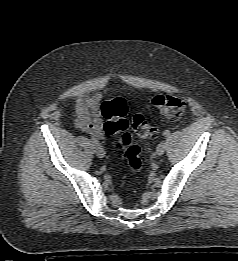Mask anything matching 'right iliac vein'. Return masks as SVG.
<instances>
[{
    "instance_id": "63e3f726",
    "label": "right iliac vein",
    "mask_w": 238,
    "mask_h": 261,
    "mask_svg": "<svg viewBox=\"0 0 238 261\" xmlns=\"http://www.w3.org/2000/svg\"><path fill=\"white\" fill-rule=\"evenodd\" d=\"M95 153L99 158H103L105 156V150L100 145L95 147Z\"/></svg>"
}]
</instances>
